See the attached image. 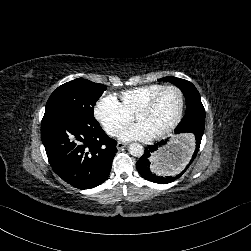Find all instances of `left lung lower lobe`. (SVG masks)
<instances>
[{"instance_id":"0a47b994","label":"left lung lower lobe","mask_w":251,"mask_h":251,"mask_svg":"<svg viewBox=\"0 0 251 251\" xmlns=\"http://www.w3.org/2000/svg\"><path fill=\"white\" fill-rule=\"evenodd\" d=\"M189 116L195 118L200 116L205 117V113L192 110L190 111ZM204 129L205 126L193 123L179 124L177 126L175 134H186V137L189 140V153L179 167V169L182 170L181 172L177 173V171L173 169V175H165V173H162L161 169L154 163V152L160 146L166 144V141L158 142L155 145H148L143 156L136 163L137 171L144 179L158 184H167L180 178L192 164L198 153Z\"/></svg>"}]
</instances>
